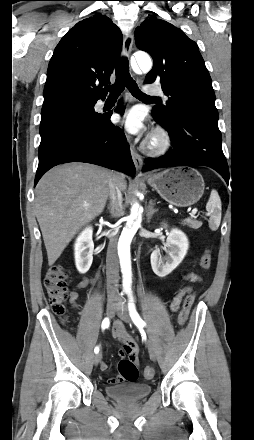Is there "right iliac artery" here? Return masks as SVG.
<instances>
[{
	"label": "right iliac artery",
	"instance_id": "82829eb1",
	"mask_svg": "<svg viewBox=\"0 0 254 440\" xmlns=\"http://www.w3.org/2000/svg\"><path fill=\"white\" fill-rule=\"evenodd\" d=\"M109 325H110L109 318H105V319L103 320V322H102L101 327H102V329L104 330V329L108 328ZM94 352H95L96 354L99 352V347H98V346L95 347Z\"/></svg>",
	"mask_w": 254,
	"mask_h": 440
}]
</instances>
